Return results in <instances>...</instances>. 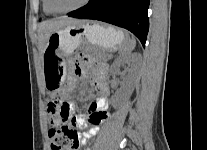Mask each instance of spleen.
Returning <instances> with one entry per match:
<instances>
[{
    "label": "spleen",
    "instance_id": "obj_1",
    "mask_svg": "<svg viewBox=\"0 0 207 150\" xmlns=\"http://www.w3.org/2000/svg\"><path fill=\"white\" fill-rule=\"evenodd\" d=\"M135 46H136V40L132 37L129 38L128 43L121 46L118 50L122 56H126L129 55L134 50Z\"/></svg>",
    "mask_w": 207,
    "mask_h": 150
}]
</instances>
